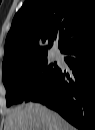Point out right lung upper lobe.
Listing matches in <instances>:
<instances>
[{
    "label": "right lung upper lobe",
    "mask_w": 95,
    "mask_h": 130,
    "mask_svg": "<svg viewBox=\"0 0 95 130\" xmlns=\"http://www.w3.org/2000/svg\"><path fill=\"white\" fill-rule=\"evenodd\" d=\"M94 33L93 0H26L6 38L3 71L46 57L56 39L62 52Z\"/></svg>",
    "instance_id": "right-lung-upper-lobe-1"
}]
</instances>
